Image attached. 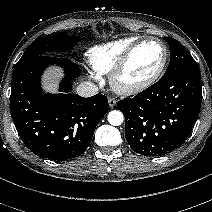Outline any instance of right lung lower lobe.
I'll list each match as a JSON object with an SVG mask.
<instances>
[{"label": "right lung lower lobe", "mask_w": 212, "mask_h": 212, "mask_svg": "<svg viewBox=\"0 0 212 212\" xmlns=\"http://www.w3.org/2000/svg\"><path fill=\"white\" fill-rule=\"evenodd\" d=\"M50 64L65 68L57 95L45 94L40 87V76ZM79 75V67L67 58L41 55L15 65L10 112L20 138L36 155L54 161L80 156L107 113L108 100L102 94L83 98L71 92Z\"/></svg>", "instance_id": "1"}]
</instances>
